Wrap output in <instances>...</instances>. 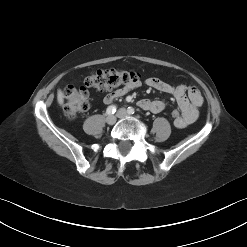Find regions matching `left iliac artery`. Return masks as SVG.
<instances>
[{
	"label": "left iliac artery",
	"mask_w": 247,
	"mask_h": 247,
	"mask_svg": "<svg viewBox=\"0 0 247 247\" xmlns=\"http://www.w3.org/2000/svg\"><path fill=\"white\" fill-rule=\"evenodd\" d=\"M127 112L128 114H134L135 110L132 107H128Z\"/></svg>",
	"instance_id": "1"
}]
</instances>
